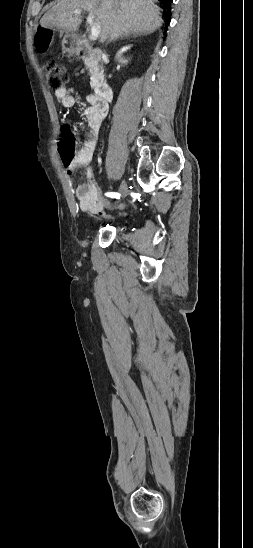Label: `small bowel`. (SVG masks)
<instances>
[{
  "label": "small bowel",
  "mask_w": 253,
  "mask_h": 548,
  "mask_svg": "<svg viewBox=\"0 0 253 548\" xmlns=\"http://www.w3.org/2000/svg\"><path fill=\"white\" fill-rule=\"evenodd\" d=\"M55 97L64 109H70L75 104V97L69 94L66 88H60L55 91ZM89 107L84 111L88 134L83 142L81 149L73 161L65 163V167L71 170L76 167H85L87 181L80 184L76 189V197L79 208L82 212L88 214H102L103 208L107 205V200L102 196L100 187L95 181V171L89 166L92 159L100 127L103 119L108 112V103L106 100L96 95H89ZM126 204L119 206L123 211ZM121 213V212H120Z\"/></svg>",
  "instance_id": "c3829d8e"
}]
</instances>
